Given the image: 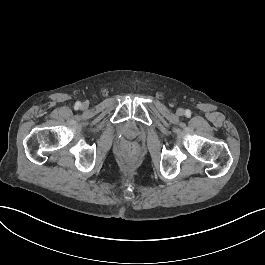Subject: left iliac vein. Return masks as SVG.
Returning a JSON list of instances; mask_svg holds the SVG:
<instances>
[{"label": "left iliac vein", "mask_w": 265, "mask_h": 265, "mask_svg": "<svg viewBox=\"0 0 265 265\" xmlns=\"http://www.w3.org/2000/svg\"><path fill=\"white\" fill-rule=\"evenodd\" d=\"M184 114V110L182 108L177 109V115L182 116Z\"/></svg>", "instance_id": "4c4485c4"}]
</instances>
